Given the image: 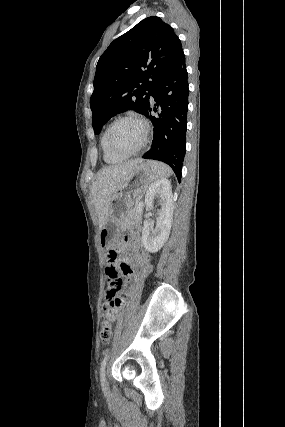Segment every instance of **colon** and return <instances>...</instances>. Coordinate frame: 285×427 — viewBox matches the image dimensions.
Returning <instances> with one entry per match:
<instances>
[{
    "instance_id": "1",
    "label": "colon",
    "mask_w": 285,
    "mask_h": 427,
    "mask_svg": "<svg viewBox=\"0 0 285 427\" xmlns=\"http://www.w3.org/2000/svg\"><path fill=\"white\" fill-rule=\"evenodd\" d=\"M117 247L122 245V242H117ZM108 262L111 264L106 269V274L108 277L109 290L107 293V297L104 299L102 303V321L103 326L100 332V337L102 341L106 342L111 339L112 336V322L115 320L118 307L121 303V299L114 298L111 295L110 289H119L123 285V279L120 276L118 270L113 266L114 263L119 262L121 260V253L118 249H114L109 251L108 253ZM121 269L123 272L129 271V266L126 263L121 264Z\"/></svg>"
}]
</instances>
